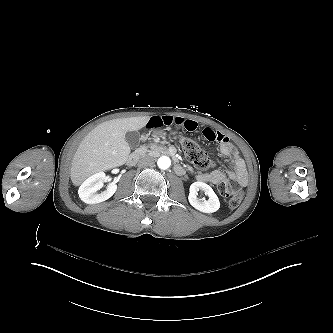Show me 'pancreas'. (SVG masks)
<instances>
[{"mask_svg":"<svg viewBox=\"0 0 333 333\" xmlns=\"http://www.w3.org/2000/svg\"><path fill=\"white\" fill-rule=\"evenodd\" d=\"M144 153L148 156L159 157L161 154H168L169 150L166 146L158 143H149L143 147Z\"/></svg>","mask_w":333,"mask_h":333,"instance_id":"obj_1","label":"pancreas"}]
</instances>
